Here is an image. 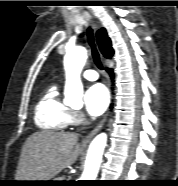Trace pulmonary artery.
<instances>
[{
	"label": "pulmonary artery",
	"mask_w": 178,
	"mask_h": 186,
	"mask_svg": "<svg viewBox=\"0 0 178 186\" xmlns=\"http://www.w3.org/2000/svg\"><path fill=\"white\" fill-rule=\"evenodd\" d=\"M83 77L87 80L94 81L98 79V73L95 70H86L83 72Z\"/></svg>",
	"instance_id": "e3ab8cb5"
}]
</instances>
